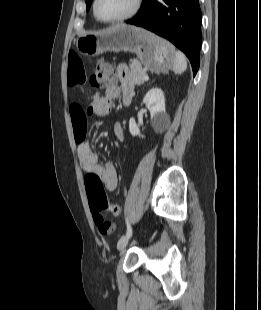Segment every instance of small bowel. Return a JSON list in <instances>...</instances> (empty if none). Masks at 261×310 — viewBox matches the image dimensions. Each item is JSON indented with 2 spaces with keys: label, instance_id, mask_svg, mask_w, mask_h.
<instances>
[{
  "label": "small bowel",
  "instance_id": "obj_1",
  "mask_svg": "<svg viewBox=\"0 0 261 310\" xmlns=\"http://www.w3.org/2000/svg\"><path fill=\"white\" fill-rule=\"evenodd\" d=\"M117 77L119 85L112 84L106 88L105 95L97 97L91 108V112L97 115L107 114L111 107L112 101L118 97L130 101L133 96V86L130 82V72L126 65L120 64L117 67ZM86 81L85 66L78 54L69 53L68 57V77L67 85L72 91L79 90ZM70 115L74 129V136L77 143V154L82 169L86 173H94L100 177L106 188L114 192L118 187V177L115 167L111 163L100 164L97 155L86 139L87 119L86 113L81 105L73 103L70 107ZM114 134L118 140L123 139V130L119 123L114 126Z\"/></svg>",
  "mask_w": 261,
  "mask_h": 310
}]
</instances>
